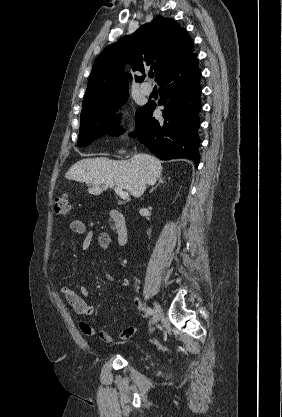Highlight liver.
<instances>
[{
	"label": "liver",
	"mask_w": 282,
	"mask_h": 417,
	"mask_svg": "<svg viewBox=\"0 0 282 417\" xmlns=\"http://www.w3.org/2000/svg\"><path fill=\"white\" fill-rule=\"evenodd\" d=\"M161 172V160L151 154H134L128 160L99 156L78 160L67 170L65 178L85 182L90 194H101L109 186H120L133 196H141L146 184H155Z\"/></svg>",
	"instance_id": "obj_1"
}]
</instances>
